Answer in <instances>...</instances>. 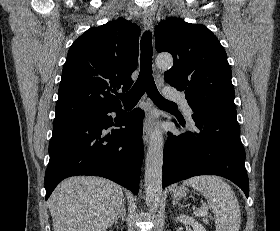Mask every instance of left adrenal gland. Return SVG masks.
Segmentation results:
<instances>
[{
  "label": "left adrenal gland",
  "instance_id": "left-adrenal-gland-1",
  "mask_svg": "<svg viewBox=\"0 0 280 231\" xmlns=\"http://www.w3.org/2000/svg\"><path fill=\"white\" fill-rule=\"evenodd\" d=\"M172 203H173V205H175V203H177V205H181V207H184L183 203H179V201H177V199H172Z\"/></svg>",
  "mask_w": 280,
  "mask_h": 231
}]
</instances>
